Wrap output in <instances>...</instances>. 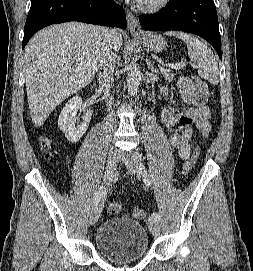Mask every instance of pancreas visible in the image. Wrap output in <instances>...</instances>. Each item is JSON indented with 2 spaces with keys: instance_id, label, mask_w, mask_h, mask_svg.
Wrapping results in <instances>:
<instances>
[{
  "instance_id": "cf45deb5",
  "label": "pancreas",
  "mask_w": 253,
  "mask_h": 271,
  "mask_svg": "<svg viewBox=\"0 0 253 271\" xmlns=\"http://www.w3.org/2000/svg\"><path fill=\"white\" fill-rule=\"evenodd\" d=\"M161 74L165 77L166 80L171 81L174 78V74L172 73L170 68L160 67Z\"/></svg>"
}]
</instances>
